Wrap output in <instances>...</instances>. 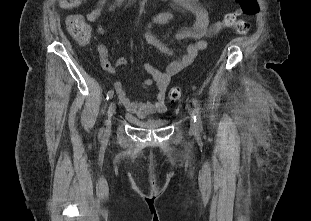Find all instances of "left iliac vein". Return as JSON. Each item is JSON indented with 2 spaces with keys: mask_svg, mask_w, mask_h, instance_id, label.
<instances>
[{
  "mask_svg": "<svg viewBox=\"0 0 311 221\" xmlns=\"http://www.w3.org/2000/svg\"><path fill=\"white\" fill-rule=\"evenodd\" d=\"M189 111H190V109H189ZM190 115H191L190 128H191V130L195 131L197 129V124L194 122L193 114L191 113V111H190Z\"/></svg>",
  "mask_w": 311,
  "mask_h": 221,
  "instance_id": "1",
  "label": "left iliac vein"
}]
</instances>
